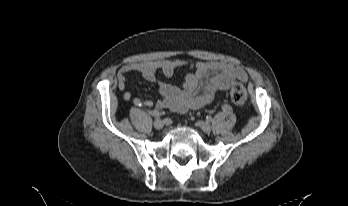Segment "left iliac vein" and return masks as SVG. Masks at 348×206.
Here are the masks:
<instances>
[{
  "instance_id": "left-iliac-vein-1",
  "label": "left iliac vein",
  "mask_w": 348,
  "mask_h": 206,
  "mask_svg": "<svg viewBox=\"0 0 348 206\" xmlns=\"http://www.w3.org/2000/svg\"><path fill=\"white\" fill-rule=\"evenodd\" d=\"M197 126L205 133L211 132V125L204 121H198Z\"/></svg>"
}]
</instances>
